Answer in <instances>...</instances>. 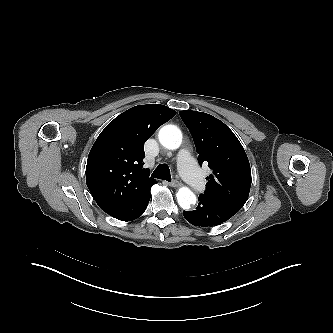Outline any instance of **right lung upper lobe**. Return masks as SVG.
Listing matches in <instances>:
<instances>
[{
    "mask_svg": "<svg viewBox=\"0 0 333 333\" xmlns=\"http://www.w3.org/2000/svg\"><path fill=\"white\" fill-rule=\"evenodd\" d=\"M176 112L161 104L139 105L112 120L90 150L86 183L109 215L124 213L133 200L157 183L144 164V143Z\"/></svg>",
    "mask_w": 333,
    "mask_h": 333,
    "instance_id": "right-lung-upper-lobe-1",
    "label": "right lung upper lobe"
}]
</instances>
